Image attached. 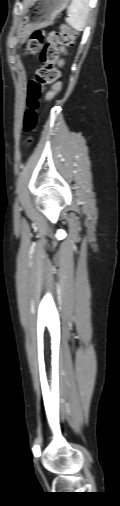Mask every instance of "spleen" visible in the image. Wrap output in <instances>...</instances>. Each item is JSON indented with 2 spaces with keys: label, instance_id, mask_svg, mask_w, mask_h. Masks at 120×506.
I'll return each mask as SVG.
<instances>
[{
  "label": "spleen",
  "instance_id": "obj_1",
  "mask_svg": "<svg viewBox=\"0 0 120 506\" xmlns=\"http://www.w3.org/2000/svg\"><path fill=\"white\" fill-rule=\"evenodd\" d=\"M89 13L88 0H72L65 21L77 31H83Z\"/></svg>",
  "mask_w": 120,
  "mask_h": 506
}]
</instances>
